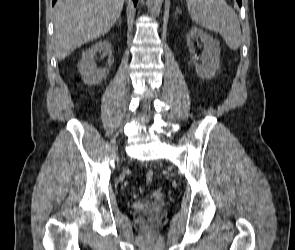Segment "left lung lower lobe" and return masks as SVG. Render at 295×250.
Segmentation results:
<instances>
[{"label":"left lung lower lobe","mask_w":295,"mask_h":250,"mask_svg":"<svg viewBox=\"0 0 295 250\" xmlns=\"http://www.w3.org/2000/svg\"><path fill=\"white\" fill-rule=\"evenodd\" d=\"M237 2H238V4H239V6H241V0H237Z\"/></svg>","instance_id":"0a47b994"}]
</instances>
